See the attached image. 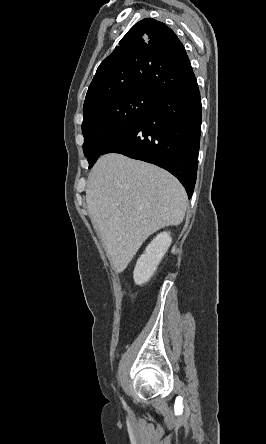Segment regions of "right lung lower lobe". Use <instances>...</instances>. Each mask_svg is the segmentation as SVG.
I'll return each mask as SVG.
<instances>
[{
    "label": "right lung lower lobe",
    "mask_w": 266,
    "mask_h": 444,
    "mask_svg": "<svg viewBox=\"0 0 266 444\" xmlns=\"http://www.w3.org/2000/svg\"><path fill=\"white\" fill-rule=\"evenodd\" d=\"M201 132V98L194 78L158 98L137 125L113 139L103 154L120 153L173 174L189 199L196 182Z\"/></svg>",
    "instance_id": "obj_1"
}]
</instances>
